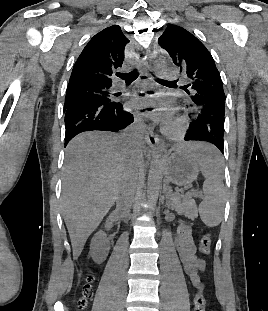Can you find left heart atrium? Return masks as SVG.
Masks as SVG:
<instances>
[{"label": "left heart atrium", "instance_id": "1", "mask_svg": "<svg viewBox=\"0 0 268 311\" xmlns=\"http://www.w3.org/2000/svg\"><path fill=\"white\" fill-rule=\"evenodd\" d=\"M154 104V102H150V101H146V100H142V99H133L130 103V105L133 108H143L145 106L148 105H152ZM157 111H162L161 113L157 114L155 116V118L161 122H168L170 120L171 117V108H160V109H156Z\"/></svg>", "mask_w": 268, "mask_h": 311}]
</instances>
